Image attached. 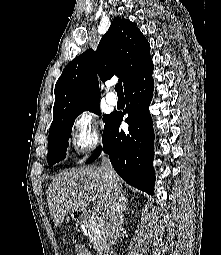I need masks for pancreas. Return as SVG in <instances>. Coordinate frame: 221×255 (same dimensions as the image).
I'll return each instance as SVG.
<instances>
[{"instance_id": "obj_1", "label": "pancreas", "mask_w": 221, "mask_h": 255, "mask_svg": "<svg viewBox=\"0 0 221 255\" xmlns=\"http://www.w3.org/2000/svg\"><path fill=\"white\" fill-rule=\"evenodd\" d=\"M104 222L101 218L96 215H91L88 217V220L84 223L86 230L88 231L91 242L94 243V246L99 252L103 250L101 242L98 239L97 233L102 228Z\"/></svg>"}]
</instances>
